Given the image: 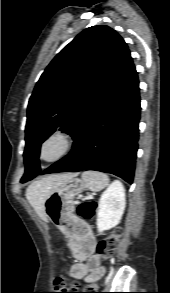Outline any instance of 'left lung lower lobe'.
Wrapping results in <instances>:
<instances>
[{
  "mask_svg": "<svg viewBox=\"0 0 170 293\" xmlns=\"http://www.w3.org/2000/svg\"><path fill=\"white\" fill-rule=\"evenodd\" d=\"M140 110L139 81L130 58L73 138L72 151L38 175L96 170L131 184Z\"/></svg>",
  "mask_w": 170,
  "mask_h": 293,
  "instance_id": "obj_1",
  "label": "left lung lower lobe"
}]
</instances>
